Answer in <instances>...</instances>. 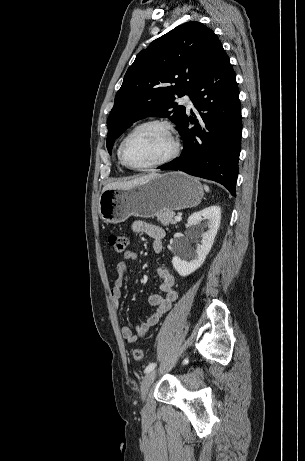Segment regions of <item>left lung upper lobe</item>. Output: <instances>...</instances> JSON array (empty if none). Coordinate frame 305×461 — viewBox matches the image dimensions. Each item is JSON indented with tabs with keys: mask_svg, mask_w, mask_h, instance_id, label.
Returning a JSON list of instances; mask_svg holds the SVG:
<instances>
[{
	"mask_svg": "<svg viewBox=\"0 0 305 461\" xmlns=\"http://www.w3.org/2000/svg\"><path fill=\"white\" fill-rule=\"evenodd\" d=\"M222 49L211 29L187 22L142 50L128 68L107 120L109 153L115 139L140 119L165 117L179 127L186 108L177 105L176 97L190 95Z\"/></svg>",
	"mask_w": 305,
	"mask_h": 461,
	"instance_id": "1",
	"label": "left lung upper lobe"
}]
</instances>
